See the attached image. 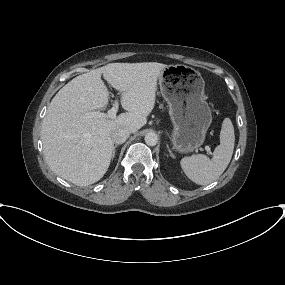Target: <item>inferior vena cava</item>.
<instances>
[{
  "instance_id": "602c4592",
  "label": "inferior vena cava",
  "mask_w": 285,
  "mask_h": 285,
  "mask_svg": "<svg viewBox=\"0 0 285 285\" xmlns=\"http://www.w3.org/2000/svg\"><path fill=\"white\" fill-rule=\"evenodd\" d=\"M131 132L126 128H115L111 131V139L116 144L124 143L128 137L130 136Z\"/></svg>"
}]
</instances>
